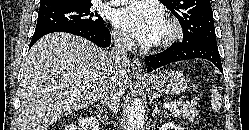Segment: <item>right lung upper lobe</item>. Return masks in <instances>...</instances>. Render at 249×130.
Here are the masks:
<instances>
[{
    "mask_svg": "<svg viewBox=\"0 0 249 130\" xmlns=\"http://www.w3.org/2000/svg\"><path fill=\"white\" fill-rule=\"evenodd\" d=\"M70 1H73V0H41L40 7L52 6V5H56V4L67 3Z\"/></svg>",
    "mask_w": 249,
    "mask_h": 130,
    "instance_id": "right-lung-upper-lobe-1",
    "label": "right lung upper lobe"
}]
</instances>
